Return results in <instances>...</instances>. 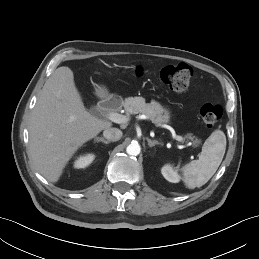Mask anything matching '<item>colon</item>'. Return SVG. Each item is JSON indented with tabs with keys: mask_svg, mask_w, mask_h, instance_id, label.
Returning a JSON list of instances; mask_svg holds the SVG:
<instances>
[{
	"mask_svg": "<svg viewBox=\"0 0 259 259\" xmlns=\"http://www.w3.org/2000/svg\"><path fill=\"white\" fill-rule=\"evenodd\" d=\"M128 71L136 76L143 74L141 67L130 68ZM160 78L170 90L181 92L189 86L192 78V70L188 65L184 64L167 66L161 70ZM200 116L207 127H213L222 116V107L218 104H204L200 109Z\"/></svg>",
	"mask_w": 259,
	"mask_h": 259,
	"instance_id": "1",
	"label": "colon"
}]
</instances>
